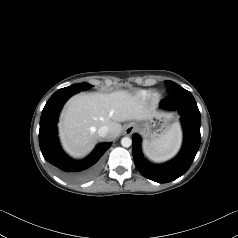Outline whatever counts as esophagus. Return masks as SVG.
<instances>
[{
  "mask_svg": "<svg viewBox=\"0 0 238 238\" xmlns=\"http://www.w3.org/2000/svg\"><path fill=\"white\" fill-rule=\"evenodd\" d=\"M133 130H134V125H131V124L128 125L127 128H126V132L129 133V134L132 133Z\"/></svg>",
  "mask_w": 238,
  "mask_h": 238,
  "instance_id": "34e87169",
  "label": "esophagus"
}]
</instances>
